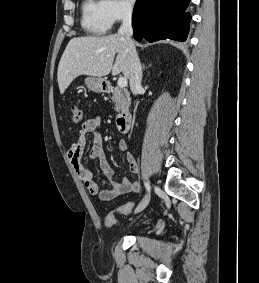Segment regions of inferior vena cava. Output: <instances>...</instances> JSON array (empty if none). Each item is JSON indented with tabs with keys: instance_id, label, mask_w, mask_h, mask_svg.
<instances>
[{
	"instance_id": "602c4592",
	"label": "inferior vena cava",
	"mask_w": 259,
	"mask_h": 283,
	"mask_svg": "<svg viewBox=\"0 0 259 283\" xmlns=\"http://www.w3.org/2000/svg\"><path fill=\"white\" fill-rule=\"evenodd\" d=\"M131 18H132V8L125 7L123 9L122 24L118 30V34L125 39V42L128 47L129 61H130V69H129L130 89L134 95H137L141 89L142 68L138 54L135 49L134 42L131 38L133 34Z\"/></svg>"
}]
</instances>
